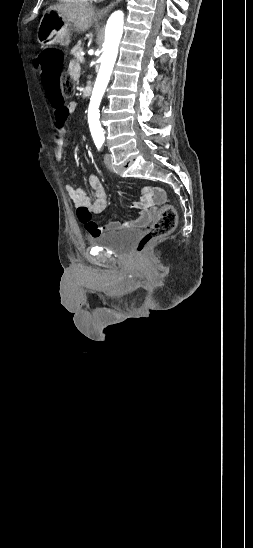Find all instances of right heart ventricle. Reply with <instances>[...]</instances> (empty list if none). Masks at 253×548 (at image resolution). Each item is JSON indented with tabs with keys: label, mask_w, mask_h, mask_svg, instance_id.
Here are the masks:
<instances>
[{
	"label": "right heart ventricle",
	"mask_w": 253,
	"mask_h": 548,
	"mask_svg": "<svg viewBox=\"0 0 253 548\" xmlns=\"http://www.w3.org/2000/svg\"><path fill=\"white\" fill-rule=\"evenodd\" d=\"M61 2H64V3H70V4H82V3H87L89 1H92V0H59Z\"/></svg>",
	"instance_id": "1"
}]
</instances>
